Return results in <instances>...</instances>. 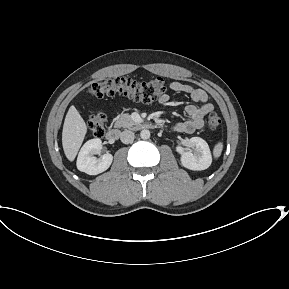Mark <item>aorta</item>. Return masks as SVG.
I'll use <instances>...</instances> for the list:
<instances>
[{
  "instance_id": "obj_1",
  "label": "aorta",
  "mask_w": 289,
  "mask_h": 289,
  "mask_svg": "<svg viewBox=\"0 0 289 289\" xmlns=\"http://www.w3.org/2000/svg\"><path fill=\"white\" fill-rule=\"evenodd\" d=\"M140 137H141L142 139H149V138H150V131H149V130H146V129L142 130V131L140 132Z\"/></svg>"
}]
</instances>
